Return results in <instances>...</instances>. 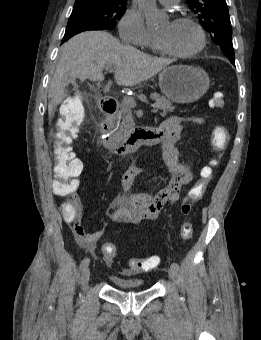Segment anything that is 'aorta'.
<instances>
[{"label": "aorta", "instance_id": "1", "mask_svg": "<svg viewBox=\"0 0 261 340\" xmlns=\"http://www.w3.org/2000/svg\"><path fill=\"white\" fill-rule=\"evenodd\" d=\"M139 7L149 28L159 26L165 19V15L158 10L155 0H139Z\"/></svg>", "mask_w": 261, "mask_h": 340}]
</instances>
